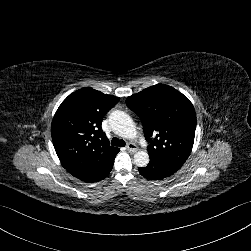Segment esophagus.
Instances as JSON below:
<instances>
[{
	"instance_id": "1",
	"label": "esophagus",
	"mask_w": 251,
	"mask_h": 251,
	"mask_svg": "<svg viewBox=\"0 0 251 251\" xmlns=\"http://www.w3.org/2000/svg\"><path fill=\"white\" fill-rule=\"evenodd\" d=\"M126 149L131 153H135L138 150V146L135 143H128Z\"/></svg>"
}]
</instances>
